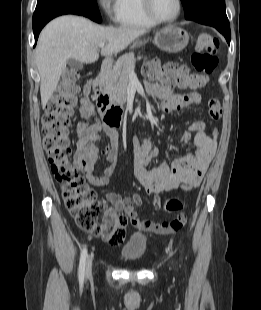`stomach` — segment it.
I'll list each match as a JSON object with an SVG mask.
<instances>
[{
	"mask_svg": "<svg viewBox=\"0 0 261 310\" xmlns=\"http://www.w3.org/2000/svg\"><path fill=\"white\" fill-rule=\"evenodd\" d=\"M188 42V33L184 29L173 25L162 28L154 37V43L159 49L172 53L182 51L188 45ZM142 44L143 42L137 39L133 42L132 47H139Z\"/></svg>",
	"mask_w": 261,
	"mask_h": 310,
	"instance_id": "0dacf381",
	"label": "stomach"
}]
</instances>
